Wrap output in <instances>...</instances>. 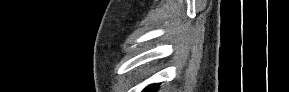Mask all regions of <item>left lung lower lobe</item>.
<instances>
[{"label":"left lung lower lobe","mask_w":289,"mask_h":92,"mask_svg":"<svg viewBox=\"0 0 289 92\" xmlns=\"http://www.w3.org/2000/svg\"><path fill=\"white\" fill-rule=\"evenodd\" d=\"M157 86H158V84H152V85L148 86L147 88H145L143 90V92H153V91H155Z\"/></svg>","instance_id":"0a47b994"}]
</instances>
